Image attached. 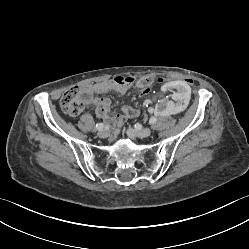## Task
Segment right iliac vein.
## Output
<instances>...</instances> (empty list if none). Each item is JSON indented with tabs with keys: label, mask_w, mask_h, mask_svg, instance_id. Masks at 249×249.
Masks as SVG:
<instances>
[{
	"label": "right iliac vein",
	"mask_w": 249,
	"mask_h": 249,
	"mask_svg": "<svg viewBox=\"0 0 249 249\" xmlns=\"http://www.w3.org/2000/svg\"><path fill=\"white\" fill-rule=\"evenodd\" d=\"M98 137L100 138H106L108 136V131L105 130V129H102L100 130L98 133H97Z\"/></svg>",
	"instance_id": "right-iliac-vein-1"
}]
</instances>
